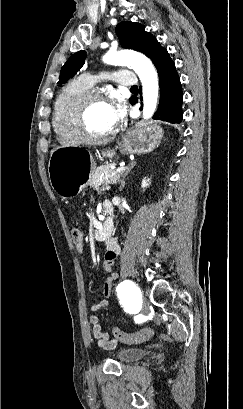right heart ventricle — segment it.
<instances>
[{
  "instance_id": "1",
  "label": "right heart ventricle",
  "mask_w": 243,
  "mask_h": 409,
  "mask_svg": "<svg viewBox=\"0 0 243 409\" xmlns=\"http://www.w3.org/2000/svg\"><path fill=\"white\" fill-rule=\"evenodd\" d=\"M90 87L81 79L68 82L57 95L52 112V126L58 141L66 146L77 145L82 142L74 130L70 120L72 102Z\"/></svg>"
}]
</instances>
